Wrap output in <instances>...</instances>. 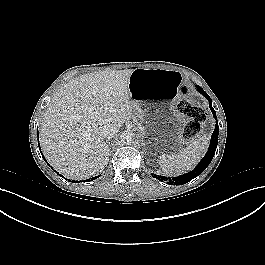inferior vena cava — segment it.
Returning <instances> with one entry per match:
<instances>
[{"instance_id": "602c4592", "label": "inferior vena cava", "mask_w": 265, "mask_h": 265, "mask_svg": "<svg viewBox=\"0 0 265 265\" xmlns=\"http://www.w3.org/2000/svg\"><path fill=\"white\" fill-rule=\"evenodd\" d=\"M117 133H118V129L111 125H105L101 130V134L106 139L113 138Z\"/></svg>"}]
</instances>
